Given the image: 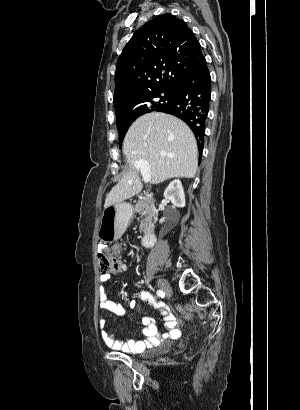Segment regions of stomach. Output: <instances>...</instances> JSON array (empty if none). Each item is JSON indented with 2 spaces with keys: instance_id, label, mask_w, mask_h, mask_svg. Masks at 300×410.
Here are the masks:
<instances>
[{
  "instance_id": "stomach-1",
  "label": "stomach",
  "mask_w": 300,
  "mask_h": 410,
  "mask_svg": "<svg viewBox=\"0 0 300 410\" xmlns=\"http://www.w3.org/2000/svg\"><path fill=\"white\" fill-rule=\"evenodd\" d=\"M132 214V206L125 202L106 207L101 217V225L98 231L99 239L103 242L119 239L125 232Z\"/></svg>"
}]
</instances>
